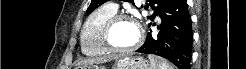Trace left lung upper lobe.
Masks as SVG:
<instances>
[{
	"label": "left lung upper lobe",
	"mask_w": 246,
	"mask_h": 69,
	"mask_svg": "<svg viewBox=\"0 0 246 69\" xmlns=\"http://www.w3.org/2000/svg\"><path fill=\"white\" fill-rule=\"evenodd\" d=\"M107 0H91V4L87 9V15H89L92 11H94L98 6L102 5ZM133 3L134 0H123ZM171 0H148V4L144 6L145 9H148V6L154 9V15L148 17V19L154 20L155 16L158 15L170 2ZM157 4L155 7L154 5Z\"/></svg>",
	"instance_id": "left-lung-upper-lobe-1"
}]
</instances>
